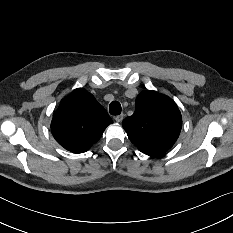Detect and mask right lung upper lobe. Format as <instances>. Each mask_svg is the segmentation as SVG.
<instances>
[{
  "label": "right lung upper lobe",
  "mask_w": 233,
  "mask_h": 233,
  "mask_svg": "<svg viewBox=\"0 0 233 233\" xmlns=\"http://www.w3.org/2000/svg\"><path fill=\"white\" fill-rule=\"evenodd\" d=\"M113 121L107 111L83 88L61 100L53 114L51 130L55 140L73 153L91 148Z\"/></svg>",
  "instance_id": "right-lung-upper-lobe-1"
}]
</instances>
